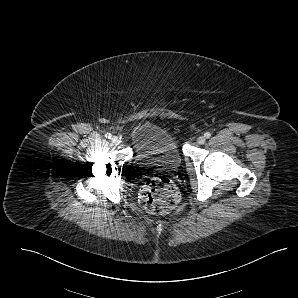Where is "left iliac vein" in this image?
Here are the masks:
<instances>
[{"mask_svg": "<svg viewBox=\"0 0 298 298\" xmlns=\"http://www.w3.org/2000/svg\"><path fill=\"white\" fill-rule=\"evenodd\" d=\"M206 141L205 137L204 136H200L198 139H197V143L198 144H204Z\"/></svg>", "mask_w": 298, "mask_h": 298, "instance_id": "4c4485c4", "label": "left iliac vein"}]
</instances>
